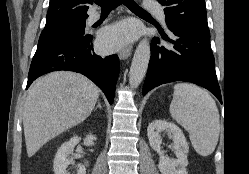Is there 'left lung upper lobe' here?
<instances>
[{"label": "left lung upper lobe", "mask_w": 249, "mask_h": 174, "mask_svg": "<svg viewBox=\"0 0 249 174\" xmlns=\"http://www.w3.org/2000/svg\"><path fill=\"white\" fill-rule=\"evenodd\" d=\"M165 6L168 27L209 31L205 0H157Z\"/></svg>", "instance_id": "1"}]
</instances>
